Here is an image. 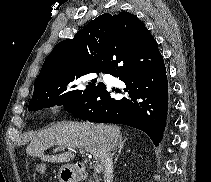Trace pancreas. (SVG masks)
Returning <instances> with one entry per match:
<instances>
[{
	"label": "pancreas",
	"instance_id": "1",
	"mask_svg": "<svg viewBox=\"0 0 211 182\" xmlns=\"http://www.w3.org/2000/svg\"><path fill=\"white\" fill-rule=\"evenodd\" d=\"M89 182H97V181H94V180H90Z\"/></svg>",
	"mask_w": 211,
	"mask_h": 182
}]
</instances>
